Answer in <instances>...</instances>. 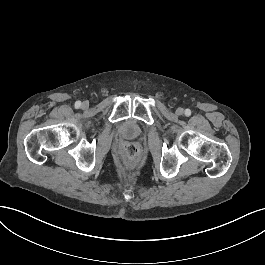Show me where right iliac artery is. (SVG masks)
<instances>
[{"mask_svg":"<svg viewBox=\"0 0 265 265\" xmlns=\"http://www.w3.org/2000/svg\"><path fill=\"white\" fill-rule=\"evenodd\" d=\"M81 106V102L80 101H76L75 102V108H79Z\"/></svg>","mask_w":265,"mask_h":265,"instance_id":"right-iliac-artery-1","label":"right iliac artery"}]
</instances>
